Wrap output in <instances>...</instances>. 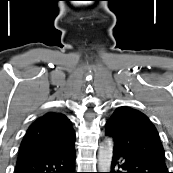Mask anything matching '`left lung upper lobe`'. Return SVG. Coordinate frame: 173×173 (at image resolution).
Returning a JSON list of instances; mask_svg holds the SVG:
<instances>
[{"label": "left lung upper lobe", "instance_id": "left-lung-upper-lobe-1", "mask_svg": "<svg viewBox=\"0 0 173 173\" xmlns=\"http://www.w3.org/2000/svg\"><path fill=\"white\" fill-rule=\"evenodd\" d=\"M105 134L113 138L114 150L132 153L166 166L158 132L140 111L119 107L107 121Z\"/></svg>", "mask_w": 173, "mask_h": 173}]
</instances>
